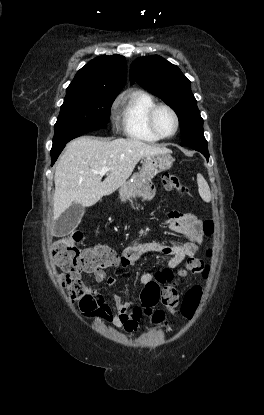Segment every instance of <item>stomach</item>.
<instances>
[{
    "label": "stomach",
    "instance_id": "1",
    "mask_svg": "<svg viewBox=\"0 0 264 415\" xmlns=\"http://www.w3.org/2000/svg\"><path fill=\"white\" fill-rule=\"evenodd\" d=\"M173 162L174 158L170 153H161L143 158L141 170L120 187V200L122 202L132 201V199L139 196L147 181L158 173L170 169Z\"/></svg>",
    "mask_w": 264,
    "mask_h": 415
}]
</instances>
